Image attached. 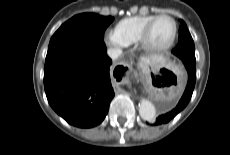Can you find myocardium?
<instances>
[{
	"instance_id": "1",
	"label": "myocardium",
	"mask_w": 230,
	"mask_h": 155,
	"mask_svg": "<svg viewBox=\"0 0 230 155\" xmlns=\"http://www.w3.org/2000/svg\"><path fill=\"white\" fill-rule=\"evenodd\" d=\"M162 18H168L170 19L172 22H173V25H174V29H173V34H172V37L171 39L169 40L168 43H166L165 45H162V46H154L150 43L149 41V37H150V33H151V30H152V27L153 25L159 20V19H162ZM177 34H178V25H177V22L176 20L168 15V14H160V15H157L155 18H153L147 25L146 27L144 28L143 32H142V35L140 37V45L141 47L148 53H151V54H160V53H163L167 50H169L175 43L176 41V38H177Z\"/></svg>"
}]
</instances>
